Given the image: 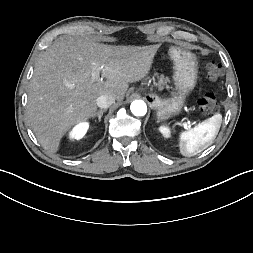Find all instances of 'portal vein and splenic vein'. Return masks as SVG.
Segmentation results:
<instances>
[{
    "label": "portal vein and splenic vein",
    "mask_w": 253,
    "mask_h": 253,
    "mask_svg": "<svg viewBox=\"0 0 253 253\" xmlns=\"http://www.w3.org/2000/svg\"><path fill=\"white\" fill-rule=\"evenodd\" d=\"M97 77H99V74L98 73H96V72H93L92 73V79L94 80V79H96ZM190 127V122L188 121V122H185L184 123V128L185 129H188Z\"/></svg>",
    "instance_id": "portal-vein-and-splenic-vein-1"
}]
</instances>
